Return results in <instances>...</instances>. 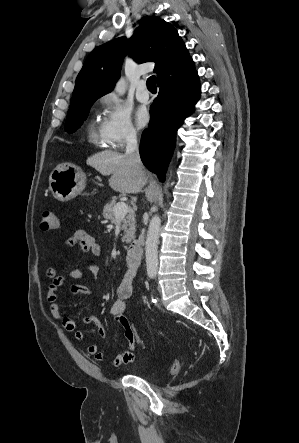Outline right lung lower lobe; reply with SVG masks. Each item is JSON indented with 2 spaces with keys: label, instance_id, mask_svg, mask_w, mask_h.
Instances as JSON below:
<instances>
[{
  "label": "right lung lower lobe",
  "instance_id": "right-lung-lower-lobe-1",
  "mask_svg": "<svg viewBox=\"0 0 299 443\" xmlns=\"http://www.w3.org/2000/svg\"><path fill=\"white\" fill-rule=\"evenodd\" d=\"M158 86V97L150 107L149 127L141 137L140 156L144 165L163 182L176 131L194 111L201 87L195 67L184 76L158 82Z\"/></svg>",
  "mask_w": 299,
  "mask_h": 443
}]
</instances>
